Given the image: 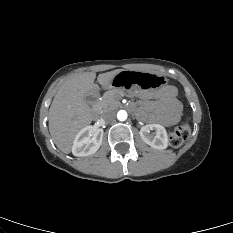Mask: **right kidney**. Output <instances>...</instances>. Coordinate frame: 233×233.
I'll return each instance as SVG.
<instances>
[{"label": "right kidney", "mask_w": 233, "mask_h": 233, "mask_svg": "<svg viewBox=\"0 0 233 233\" xmlns=\"http://www.w3.org/2000/svg\"><path fill=\"white\" fill-rule=\"evenodd\" d=\"M102 140V129L94 131L92 126H87L76 135L72 146V153L78 157L92 155L100 148Z\"/></svg>", "instance_id": "1"}]
</instances>
